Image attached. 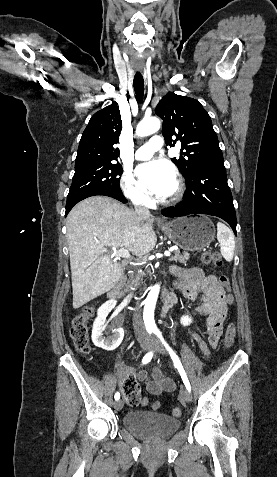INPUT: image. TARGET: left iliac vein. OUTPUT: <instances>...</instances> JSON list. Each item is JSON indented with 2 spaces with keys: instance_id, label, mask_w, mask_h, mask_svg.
<instances>
[{
  "instance_id": "obj_1",
  "label": "left iliac vein",
  "mask_w": 277,
  "mask_h": 477,
  "mask_svg": "<svg viewBox=\"0 0 277 477\" xmlns=\"http://www.w3.org/2000/svg\"><path fill=\"white\" fill-rule=\"evenodd\" d=\"M150 345H151V348L154 351L159 352V353L164 354V355L168 354L167 349L162 345V343L157 338L153 337L151 339V344ZM181 398L185 402L189 403L192 400V395H191V393L188 389H185L181 394Z\"/></svg>"
}]
</instances>
